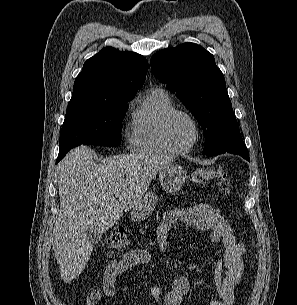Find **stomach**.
I'll use <instances>...</instances> for the list:
<instances>
[{
    "label": "stomach",
    "mask_w": 297,
    "mask_h": 305,
    "mask_svg": "<svg viewBox=\"0 0 297 305\" xmlns=\"http://www.w3.org/2000/svg\"><path fill=\"white\" fill-rule=\"evenodd\" d=\"M186 174L182 166L170 164L159 172V182L165 191H179L186 180ZM157 202L156 194L152 191L148 192L133 209L132 218L135 221L145 220L155 209Z\"/></svg>",
    "instance_id": "stomach-1"
}]
</instances>
